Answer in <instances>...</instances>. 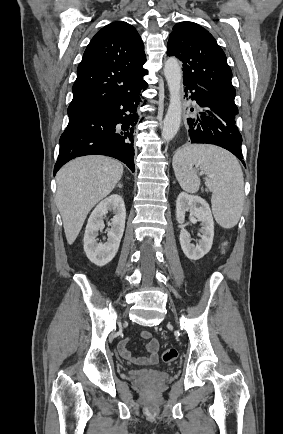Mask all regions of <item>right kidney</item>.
<instances>
[{"instance_id":"1","label":"right kidney","mask_w":283,"mask_h":434,"mask_svg":"<svg viewBox=\"0 0 283 434\" xmlns=\"http://www.w3.org/2000/svg\"><path fill=\"white\" fill-rule=\"evenodd\" d=\"M111 211V228L107 241L98 243V231L104 229V217ZM126 210L121 196L113 194L101 201L91 213L84 234V251L88 259L97 266L108 264L115 257L125 228Z\"/></svg>"}]
</instances>
